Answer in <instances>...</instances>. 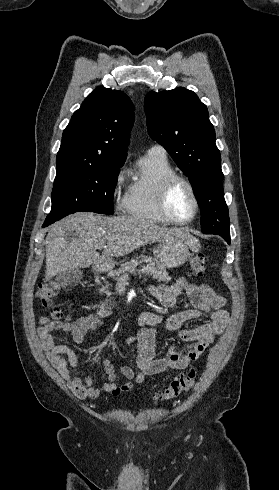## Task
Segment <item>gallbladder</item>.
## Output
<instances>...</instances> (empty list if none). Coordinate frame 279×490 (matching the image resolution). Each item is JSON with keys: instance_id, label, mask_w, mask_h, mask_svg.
Masks as SVG:
<instances>
[{"instance_id": "bac80fb5", "label": "gallbladder", "mask_w": 279, "mask_h": 490, "mask_svg": "<svg viewBox=\"0 0 279 490\" xmlns=\"http://www.w3.org/2000/svg\"><path fill=\"white\" fill-rule=\"evenodd\" d=\"M82 270H68V272H62L59 276H56L55 282L59 284V286H73V284H77L78 280L82 278Z\"/></svg>"}]
</instances>
